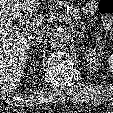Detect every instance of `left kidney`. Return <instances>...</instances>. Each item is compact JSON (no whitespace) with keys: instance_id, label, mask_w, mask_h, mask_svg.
<instances>
[{"instance_id":"left-kidney-1","label":"left kidney","mask_w":113,"mask_h":113,"mask_svg":"<svg viewBox=\"0 0 113 113\" xmlns=\"http://www.w3.org/2000/svg\"><path fill=\"white\" fill-rule=\"evenodd\" d=\"M84 57L89 68L94 71L99 69V65L102 60V55L100 53H97L93 49H88L84 52Z\"/></svg>"}]
</instances>
